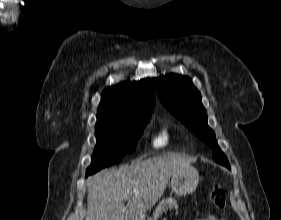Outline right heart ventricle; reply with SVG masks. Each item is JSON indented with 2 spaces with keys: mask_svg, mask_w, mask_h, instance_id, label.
Here are the masks:
<instances>
[{
  "mask_svg": "<svg viewBox=\"0 0 281 220\" xmlns=\"http://www.w3.org/2000/svg\"><path fill=\"white\" fill-rule=\"evenodd\" d=\"M172 140L171 133L166 127L160 129L158 134L154 137L152 145L155 148H164L170 144Z\"/></svg>",
  "mask_w": 281,
  "mask_h": 220,
  "instance_id": "e07e8e85",
  "label": "right heart ventricle"
}]
</instances>
